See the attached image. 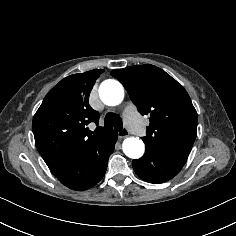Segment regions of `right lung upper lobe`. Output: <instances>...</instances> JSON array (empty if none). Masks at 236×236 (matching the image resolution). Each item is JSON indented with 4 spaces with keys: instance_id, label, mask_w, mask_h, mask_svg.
<instances>
[{
    "instance_id": "1",
    "label": "right lung upper lobe",
    "mask_w": 236,
    "mask_h": 236,
    "mask_svg": "<svg viewBox=\"0 0 236 236\" xmlns=\"http://www.w3.org/2000/svg\"><path fill=\"white\" fill-rule=\"evenodd\" d=\"M103 72L94 69L67 76L48 92L34 115L36 147L49 168L82 157L116 133L101 127L92 132L86 127L90 122L98 125L99 114L88 99Z\"/></svg>"
}]
</instances>
